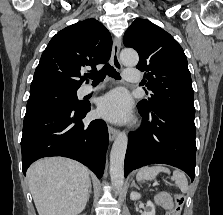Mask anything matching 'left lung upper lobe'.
I'll list each match as a JSON object with an SVG mask.
<instances>
[{
    "label": "left lung upper lobe",
    "mask_w": 223,
    "mask_h": 215,
    "mask_svg": "<svg viewBox=\"0 0 223 215\" xmlns=\"http://www.w3.org/2000/svg\"><path fill=\"white\" fill-rule=\"evenodd\" d=\"M124 45L139 54L137 68L145 71L146 87L153 93L137 105L169 107L195 113L187 58L179 43L146 19H136L125 32Z\"/></svg>",
    "instance_id": "obj_1"
}]
</instances>
